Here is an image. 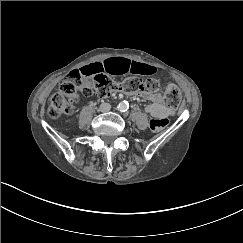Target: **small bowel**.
Wrapping results in <instances>:
<instances>
[{"mask_svg":"<svg viewBox=\"0 0 243 243\" xmlns=\"http://www.w3.org/2000/svg\"><path fill=\"white\" fill-rule=\"evenodd\" d=\"M80 71L83 73L106 72L111 75H121L129 72L151 75L156 72V68L127 58H113L88 64L82 67ZM142 96L151 102L145 107V110L152 116L156 118H166L174 115V110L164 105L159 95L143 92Z\"/></svg>","mask_w":243,"mask_h":243,"instance_id":"c3829d8e","label":"small bowel"}]
</instances>
